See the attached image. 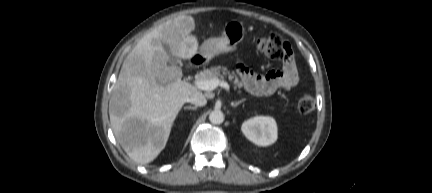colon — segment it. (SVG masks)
<instances>
[{
  "label": "colon",
  "instance_id": "1",
  "mask_svg": "<svg viewBox=\"0 0 432 193\" xmlns=\"http://www.w3.org/2000/svg\"><path fill=\"white\" fill-rule=\"evenodd\" d=\"M255 45L259 53L271 59L285 60L292 57L290 44L277 34L260 37ZM315 106V99L309 94L302 95L297 102V110L303 114L312 112Z\"/></svg>",
  "mask_w": 432,
  "mask_h": 193
}]
</instances>
